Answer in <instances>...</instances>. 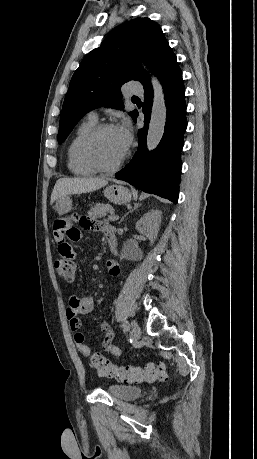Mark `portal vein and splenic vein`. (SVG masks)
Instances as JSON below:
<instances>
[{
  "mask_svg": "<svg viewBox=\"0 0 257 459\" xmlns=\"http://www.w3.org/2000/svg\"><path fill=\"white\" fill-rule=\"evenodd\" d=\"M118 216L114 215V214H111L110 216H108V219L111 220L112 222H115L116 220H118Z\"/></svg>",
  "mask_w": 257,
  "mask_h": 459,
  "instance_id": "portal-vein-and-splenic-vein-1",
  "label": "portal vein and splenic vein"
}]
</instances>
